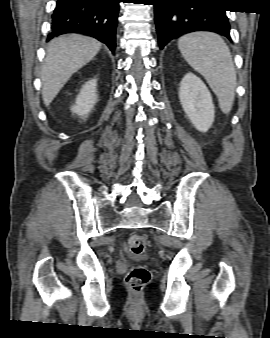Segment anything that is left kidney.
<instances>
[{
    "instance_id": "1",
    "label": "left kidney",
    "mask_w": 270,
    "mask_h": 338,
    "mask_svg": "<svg viewBox=\"0 0 270 338\" xmlns=\"http://www.w3.org/2000/svg\"><path fill=\"white\" fill-rule=\"evenodd\" d=\"M179 99L195 128L207 132L214 122L215 110L211 94L203 81L187 73L180 83Z\"/></svg>"
}]
</instances>
